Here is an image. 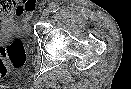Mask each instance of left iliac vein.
Here are the masks:
<instances>
[{
    "instance_id": "obj_1",
    "label": "left iliac vein",
    "mask_w": 131,
    "mask_h": 89,
    "mask_svg": "<svg viewBox=\"0 0 131 89\" xmlns=\"http://www.w3.org/2000/svg\"><path fill=\"white\" fill-rule=\"evenodd\" d=\"M49 14H50L49 10H48V9H45V10L43 11V13H42V18H43V19H47V18L49 17Z\"/></svg>"
}]
</instances>
